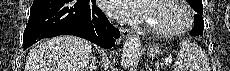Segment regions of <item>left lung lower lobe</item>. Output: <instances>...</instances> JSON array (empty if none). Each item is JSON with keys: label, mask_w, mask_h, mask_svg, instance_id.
Segmentation results:
<instances>
[{"label": "left lung lower lobe", "mask_w": 230, "mask_h": 71, "mask_svg": "<svg viewBox=\"0 0 230 71\" xmlns=\"http://www.w3.org/2000/svg\"><path fill=\"white\" fill-rule=\"evenodd\" d=\"M194 18H195V25L191 32V35L196 36L202 33L203 28H204V21H203L202 15L200 14H196Z\"/></svg>", "instance_id": "left-lung-lower-lobe-1"}]
</instances>
